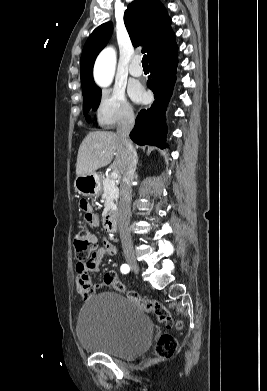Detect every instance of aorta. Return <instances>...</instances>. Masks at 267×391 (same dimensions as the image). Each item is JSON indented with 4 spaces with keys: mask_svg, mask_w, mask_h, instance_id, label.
Here are the masks:
<instances>
[{
    "mask_svg": "<svg viewBox=\"0 0 267 391\" xmlns=\"http://www.w3.org/2000/svg\"><path fill=\"white\" fill-rule=\"evenodd\" d=\"M116 52L114 48H105L98 56L94 66V78L101 87H108L114 76Z\"/></svg>",
    "mask_w": 267,
    "mask_h": 391,
    "instance_id": "aorta-1",
    "label": "aorta"
}]
</instances>
